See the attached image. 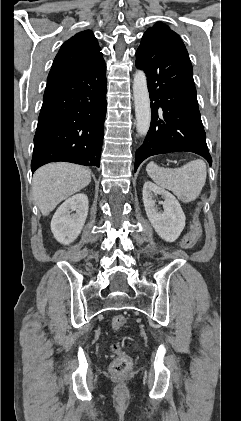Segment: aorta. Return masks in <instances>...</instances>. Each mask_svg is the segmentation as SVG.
Segmentation results:
<instances>
[{"label": "aorta", "instance_id": "aorta-1", "mask_svg": "<svg viewBox=\"0 0 241 421\" xmlns=\"http://www.w3.org/2000/svg\"><path fill=\"white\" fill-rule=\"evenodd\" d=\"M133 97L135 105L137 133L146 136L151 122V108L146 75L142 70H137L133 80Z\"/></svg>", "mask_w": 241, "mask_h": 421}]
</instances>
